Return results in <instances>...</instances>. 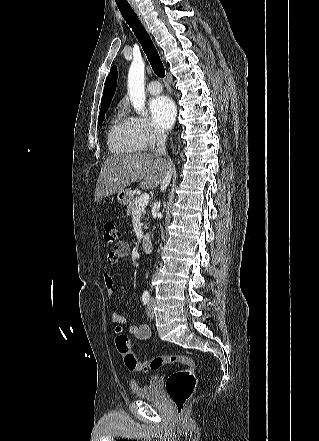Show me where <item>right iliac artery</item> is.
<instances>
[{
	"label": "right iliac artery",
	"instance_id": "82829eb1",
	"mask_svg": "<svg viewBox=\"0 0 319 441\" xmlns=\"http://www.w3.org/2000/svg\"><path fill=\"white\" fill-rule=\"evenodd\" d=\"M150 300V295L148 291H144L143 295H142V301L144 303V305L148 304Z\"/></svg>",
	"mask_w": 319,
	"mask_h": 441
}]
</instances>
